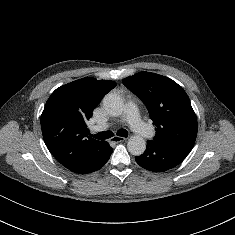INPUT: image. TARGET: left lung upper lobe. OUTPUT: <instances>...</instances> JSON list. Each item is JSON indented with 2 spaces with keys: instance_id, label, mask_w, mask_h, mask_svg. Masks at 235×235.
I'll return each mask as SVG.
<instances>
[{
  "instance_id": "1",
  "label": "left lung upper lobe",
  "mask_w": 235,
  "mask_h": 235,
  "mask_svg": "<svg viewBox=\"0 0 235 235\" xmlns=\"http://www.w3.org/2000/svg\"><path fill=\"white\" fill-rule=\"evenodd\" d=\"M123 84L146 105L156 126L153 141L191 151L197 136V118L184 89L172 79L139 72Z\"/></svg>"
}]
</instances>
